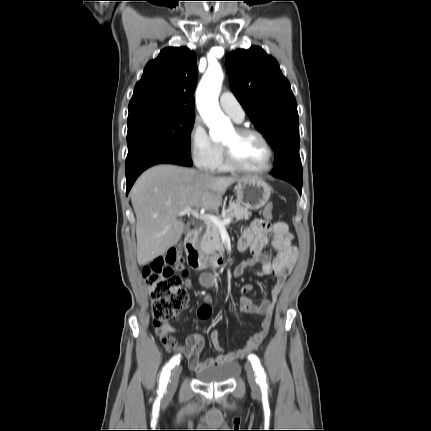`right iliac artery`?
I'll return each mask as SVG.
<instances>
[{"instance_id": "82829eb1", "label": "right iliac artery", "mask_w": 431, "mask_h": 431, "mask_svg": "<svg viewBox=\"0 0 431 431\" xmlns=\"http://www.w3.org/2000/svg\"><path fill=\"white\" fill-rule=\"evenodd\" d=\"M179 362H180V355H176L172 357V359L163 368V371L160 377V385H159V391L161 393L165 391V388L170 376V369L173 368L176 364H179Z\"/></svg>"}]
</instances>
